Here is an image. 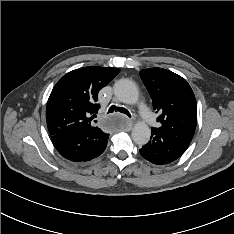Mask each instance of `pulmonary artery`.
Masks as SVG:
<instances>
[{"mask_svg": "<svg viewBox=\"0 0 234 234\" xmlns=\"http://www.w3.org/2000/svg\"><path fill=\"white\" fill-rule=\"evenodd\" d=\"M137 107H138V111L143 119V122L149 127L154 126L156 123V118L150 112L148 106L143 101H141L138 103Z\"/></svg>", "mask_w": 234, "mask_h": 234, "instance_id": "pulmonary-artery-1", "label": "pulmonary artery"}]
</instances>
